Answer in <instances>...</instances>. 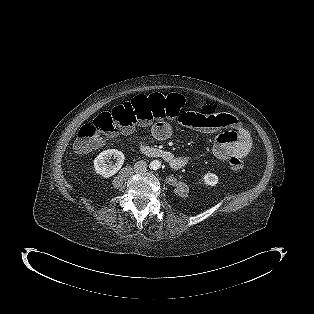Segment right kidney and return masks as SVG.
I'll return each mask as SVG.
<instances>
[{
  "mask_svg": "<svg viewBox=\"0 0 314 314\" xmlns=\"http://www.w3.org/2000/svg\"><path fill=\"white\" fill-rule=\"evenodd\" d=\"M112 156L114 159H116L115 164L109 162V158ZM124 159V154L121 151L115 149L105 150L101 152L94 160L95 171L105 178L111 177L121 169ZM107 162L109 164H107Z\"/></svg>",
  "mask_w": 314,
  "mask_h": 314,
  "instance_id": "ca27d5eb",
  "label": "right kidney"
}]
</instances>
